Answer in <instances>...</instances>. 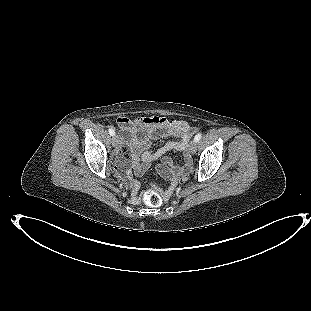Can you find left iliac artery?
<instances>
[{
  "instance_id": "44dca946",
  "label": "left iliac artery",
  "mask_w": 311,
  "mask_h": 311,
  "mask_svg": "<svg viewBox=\"0 0 311 311\" xmlns=\"http://www.w3.org/2000/svg\"><path fill=\"white\" fill-rule=\"evenodd\" d=\"M201 137H202V134H201V133H198V134L194 137V140H195L196 142H198V141L201 139Z\"/></svg>"
}]
</instances>
